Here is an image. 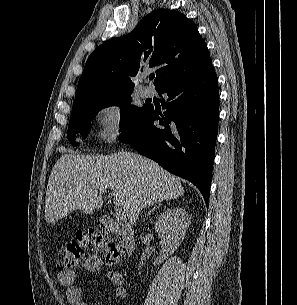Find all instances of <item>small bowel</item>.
I'll return each mask as SVG.
<instances>
[{
  "mask_svg": "<svg viewBox=\"0 0 297 305\" xmlns=\"http://www.w3.org/2000/svg\"><path fill=\"white\" fill-rule=\"evenodd\" d=\"M103 260L98 255H90L86 258L84 268L89 273H96L103 267ZM108 277L114 286L113 295L118 300H124L127 296L126 289L122 286L123 275L117 271H109ZM57 280L61 287L66 289V297L71 305H88L83 298L82 289L76 284V276L73 271H60Z\"/></svg>",
  "mask_w": 297,
  "mask_h": 305,
  "instance_id": "1",
  "label": "small bowel"
}]
</instances>
